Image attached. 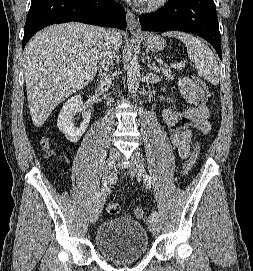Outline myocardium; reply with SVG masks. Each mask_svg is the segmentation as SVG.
Listing matches in <instances>:
<instances>
[{
	"label": "myocardium",
	"instance_id": "obj_1",
	"mask_svg": "<svg viewBox=\"0 0 253 271\" xmlns=\"http://www.w3.org/2000/svg\"><path fill=\"white\" fill-rule=\"evenodd\" d=\"M169 0H147L144 2L143 7L148 11H156L163 8Z\"/></svg>",
	"mask_w": 253,
	"mask_h": 271
}]
</instances>
